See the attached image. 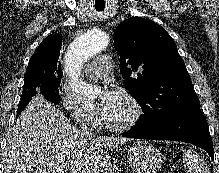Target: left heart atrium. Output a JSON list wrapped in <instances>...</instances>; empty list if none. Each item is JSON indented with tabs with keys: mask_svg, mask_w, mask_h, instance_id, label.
Returning <instances> with one entry per match:
<instances>
[{
	"mask_svg": "<svg viewBox=\"0 0 219 173\" xmlns=\"http://www.w3.org/2000/svg\"><path fill=\"white\" fill-rule=\"evenodd\" d=\"M117 94L118 93L116 91L111 89H104L101 92V95L97 103V113L102 119H104L107 112L111 108L112 104L116 99Z\"/></svg>",
	"mask_w": 219,
	"mask_h": 173,
	"instance_id": "39dd6f15",
	"label": "left heart atrium"
}]
</instances>
